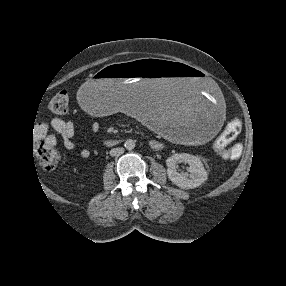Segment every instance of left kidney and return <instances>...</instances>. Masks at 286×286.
Returning <instances> with one entry per match:
<instances>
[{
    "label": "left kidney",
    "instance_id": "left-kidney-1",
    "mask_svg": "<svg viewBox=\"0 0 286 286\" xmlns=\"http://www.w3.org/2000/svg\"><path fill=\"white\" fill-rule=\"evenodd\" d=\"M178 163H186L189 165L187 173H179L177 171ZM166 165L168 167V178L173 184L182 189H194L204 183L208 174L201 162L200 158L187 153H177L167 158Z\"/></svg>",
    "mask_w": 286,
    "mask_h": 286
}]
</instances>
